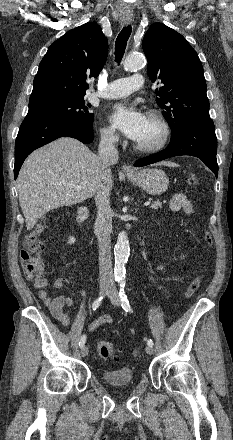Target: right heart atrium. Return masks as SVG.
Here are the masks:
<instances>
[{"instance_id": "obj_1", "label": "right heart atrium", "mask_w": 233, "mask_h": 440, "mask_svg": "<svg viewBox=\"0 0 233 440\" xmlns=\"http://www.w3.org/2000/svg\"><path fill=\"white\" fill-rule=\"evenodd\" d=\"M100 138L102 143L108 146H114L119 140V136L116 131L110 126H103L100 129Z\"/></svg>"}]
</instances>
